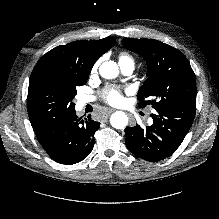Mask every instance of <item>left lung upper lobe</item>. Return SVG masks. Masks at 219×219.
Instances as JSON below:
<instances>
[{
	"label": "left lung upper lobe",
	"instance_id": "left-lung-upper-lobe-1",
	"mask_svg": "<svg viewBox=\"0 0 219 219\" xmlns=\"http://www.w3.org/2000/svg\"><path fill=\"white\" fill-rule=\"evenodd\" d=\"M123 45L145 58L148 79L138 91L139 107L173 108L196 103L195 74L177 49L152 39H123Z\"/></svg>",
	"mask_w": 219,
	"mask_h": 219
}]
</instances>
